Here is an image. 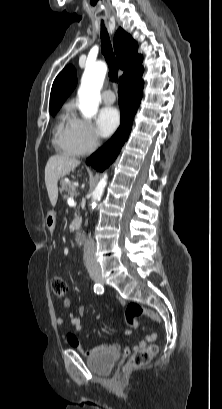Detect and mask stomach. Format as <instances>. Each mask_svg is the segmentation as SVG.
I'll return each instance as SVG.
<instances>
[{"label": "stomach", "instance_id": "0dacf381", "mask_svg": "<svg viewBox=\"0 0 222 409\" xmlns=\"http://www.w3.org/2000/svg\"><path fill=\"white\" fill-rule=\"evenodd\" d=\"M56 224V216L54 213H50L46 217V226L50 231H53Z\"/></svg>", "mask_w": 222, "mask_h": 409}]
</instances>
